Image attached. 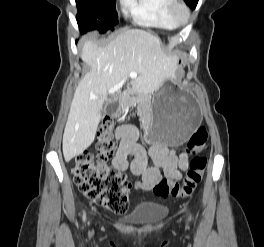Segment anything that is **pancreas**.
Masks as SVG:
<instances>
[{"label":"pancreas","mask_w":264,"mask_h":247,"mask_svg":"<svg viewBox=\"0 0 264 247\" xmlns=\"http://www.w3.org/2000/svg\"><path fill=\"white\" fill-rule=\"evenodd\" d=\"M135 94L136 91L134 89L126 92V94L122 98V103L118 112L115 114V117L119 116L120 114H123L129 106H132L137 103L138 97H136Z\"/></svg>","instance_id":"1"}]
</instances>
